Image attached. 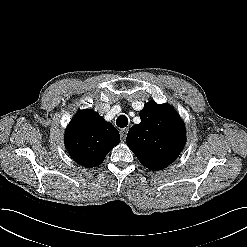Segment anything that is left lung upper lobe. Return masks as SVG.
<instances>
[{
    "label": "left lung upper lobe",
    "instance_id": "left-lung-upper-lobe-1",
    "mask_svg": "<svg viewBox=\"0 0 247 247\" xmlns=\"http://www.w3.org/2000/svg\"><path fill=\"white\" fill-rule=\"evenodd\" d=\"M141 123L130 128L127 145L150 170L166 168L180 154L186 141L184 122L169 104L148 102L140 112Z\"/></svg>",
    "mask_w": 247,
    "mask_h": 247
}]
</instances>
